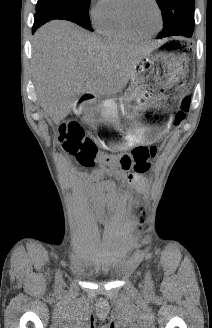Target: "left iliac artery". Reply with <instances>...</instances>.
<instances>
[{
	"instance_id": "44dca946",
	"label": "left iliac artery",
	"mask_w": 212,
	"mask_h": 328,
	"mask_svg": "<svg viewBox=\"0 0 212 328\" xmlns=\"http://www.w3.org/2000/svg\"><path fill=\"white\" fill-rule=\"evenodd\" d=\"M147 279H148V281H150V273L149 272L147 273Z\"/></svg>"
}]
</instances>
